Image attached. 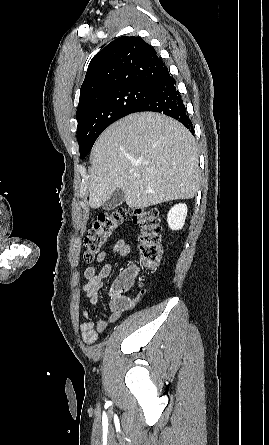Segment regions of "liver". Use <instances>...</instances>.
Here are the masks:
<instances>
[{
  "instance_id": "1",
  "label": "liver",
  "mask_w": 269,
  "mask_h": 445,
  "mask_svg": "<svg viewBox=\"0 0 269 445\" xmlns=\"http://www.w3.org/2000/svg\"><path fill=\"white\" fill-rule=\"evenodd\" d=\"M89 205L102 206L121 189L135 208L193 198L200 183L195 139L178 121L153 112L109 126L91 151Z\"/></svg>"
}]
</instances>
